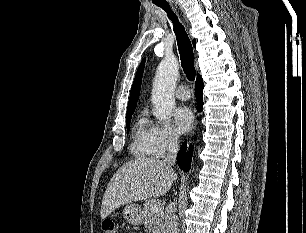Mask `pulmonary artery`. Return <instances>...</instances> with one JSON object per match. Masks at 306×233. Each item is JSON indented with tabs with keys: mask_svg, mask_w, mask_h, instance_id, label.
<instances>
[{
	"mask_svg": "<svg viewBox=\"0 0 306 233\" xmlns=\"http://www.w3.org/2000/svg\"><path fill=\"white\" fill-rule=\"evenodd\" d=\"M175 96L180 100H188L190 98V91L186 85H180L175 90Z\"/></svg>",
	"mask_w": 306,
	"mask_h": 233,
	"instance_id": "obj_1",
	"label": "pulmonary artery"
}]
</instances>
